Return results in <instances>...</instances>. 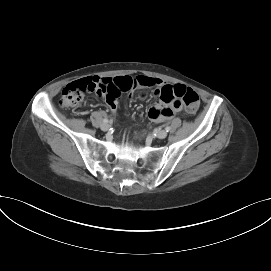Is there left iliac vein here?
<instances>
[{"label":"left iliac vein","mask_w":271,"mask_h":271,"mask_svg":"<svg viewBox=\"0 0 271 271\" xmlns=\"http://www.w3.org/2000/svg\"><path fill=\"white\" fill-rule=\"evenodd\" d=\"M156 136L159 138V139H164L167 137V132L164 131V130H158L156 131Z\"/></svg>","instance_id":"4c4485c4"}]
</instances>
